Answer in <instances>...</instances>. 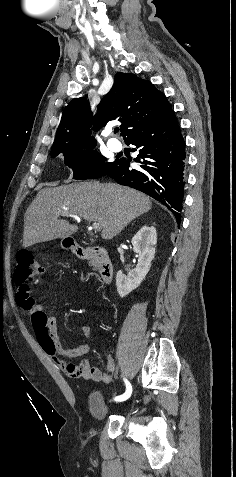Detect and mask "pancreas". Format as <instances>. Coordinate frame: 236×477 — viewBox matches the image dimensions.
Wrapping results in <instances>:
<instances>
[{
  "instance_id": "1",
  "label": "pancreas",
  "mask_w": 236,
  "mask_h": 477,
  "mask_svg": "<svg viewBox=\"0 0 236 477\" xmlns=\"http://www.w3.org/2000/svg\"><path fill=\"white\" fill-rule=\"evenodd\" d=\"M91 265L94 267V269H98L99 268V263L98 261L95 259V260H92L90 261Z\"/></svg>"
}]
</instances>
